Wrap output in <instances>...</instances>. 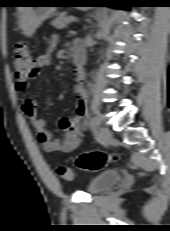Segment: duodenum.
Here are the masks:
<instances>
[{
  "label": "duodenum",
  "mask_w": 170,
  "mask_h": 231,
  "mask_svg": "<svg viewBox=\"0 0 170 231\" xmlns=\"http://www.w3.org/2000/svg\"><path fill=\"white\" fill-rule=\"evenodd\" d=\"M72 63L78 68L79 73H84V54L82 51L74 50L71 55Z\"/></svg>",
  "instance_id": "410a0bca"
}]
</instances>
